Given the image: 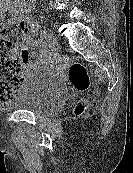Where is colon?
<instances>
[{
	"mask_svg": "<svg viewBox=\"0 0 133 173\" xmlns=\"http://www.w3.org/2000/svg\"><path fill=\"white\" fill-rule=\"evenodd\" d=\"M30 32V23L17 20L5 11L0 17V107L10 105L18 92L24 78L23 60L27 57V49L22 47L16 53V45ZM69 80L72 86L84 91L90 85L88 72L84 65L74 63L69 68ZM84 107L77 108L81 114Z\"/></svg>",
	"mask_w": 133,
	"mask_h": 173,
	"instance_id": "colon-1",
	"label": "colon"
}]
</instances>
